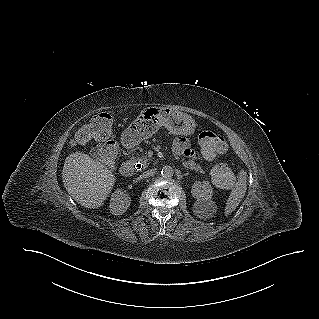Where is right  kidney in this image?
I'll use <instances>...</instances> for the list:
<instances>
[{
    "label": "right kidney",
    "mask_w": 319,
    "mask_h": 319,
    "mask_svg": "<svg viewBox=\"0 0 319 319\" xmlns=\"http://www.w3.org/2000/svg\"><path fill=\"white\" fill-rule=\"evenodd\" d=\"M130 202V197L117 189L111 196L110 212L114 215H122L130 206Z\"/></svg>",
    "instance_id": "ca27d5eb"
}]
</instances>
